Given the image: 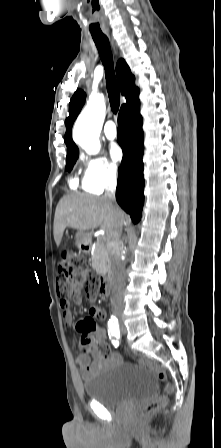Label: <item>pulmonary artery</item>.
<instances>
[{
	"label": "pulmonary artery",
	"mask_w": 221,
	"mask_h": 448,
	"mask_svg": "<svg viewBox=\"0 0 221 448\" xmlns=\"http://www.w3.org/2000/svg\"><path fill=\"white\" fill-rule=\"evenodd\" d=\"M104 134L109 140H114L117 137V128L113 121H108L105 124Z\"/></svg>",
	"instance_id": "e3ab8cb5"
}]
</instances>
